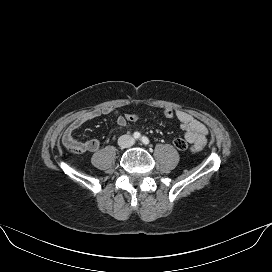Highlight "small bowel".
<instances>
[{
	"mask_svg": "<svg viewBox=\"0 0 272 272\" xmlns=\"http://www.w3.org/2000/svg\"><path fill=\"white\" fill-rule=\"evenodd\" d=\"M175 118L178 120L180 128L184 131V140L191 145L194 152L202 150L207 143L208 129L201 121L195 119L191 114L182 109L174 111ZM101 115H112L119 127L127 124L125 117L117 110L110 108L96 109L83 113L76 117L65 129L62 137L63 143L77 151L96 152L100 148L99 140L90 138L85 141H78L74 133L89 121H92Z\"/></svg>",
	"mask_w": 272,
	"mask_h": 272,
	"instance_id": "small-bowel-1",
	"label": "small bowel"
}]
</instances>
